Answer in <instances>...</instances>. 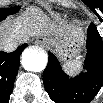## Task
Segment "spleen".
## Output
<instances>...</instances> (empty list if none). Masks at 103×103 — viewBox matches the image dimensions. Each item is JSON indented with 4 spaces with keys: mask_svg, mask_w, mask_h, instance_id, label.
Segmentation results:
<instances>
[{
    "mask_svg": "<svg viewBox=\"0 0 103 103\" xmlns=\"http://www.w3.org/2000/svg\"><path fill=\"white\" fill-rule=\"evenodd\" d=\"M63 68L69 75H76L82 71V62L79 58H77L69 63H66Z\"/></svg>",
    "mask_w": 103,
    "mask_h": 103,
    "instance_id": "1",
    "label": "spleen"
}]
</instances>
